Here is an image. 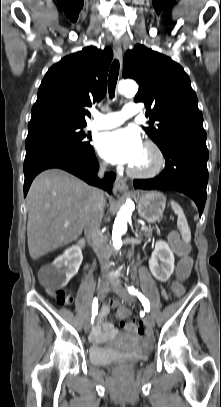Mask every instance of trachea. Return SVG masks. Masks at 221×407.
<instances>
[{
  "instance_id": "trachea-1",
  "label": "trachea",
  "mask_w": 221,
  "mask_h": 407,
  "mask_svg": "<svg viewBox=\"0 0 221 407\" xmlns=\"http://www.w3.org/2000/svg\"><path fill=\"white\" fill-rule=\"evenodd\" d=\"M118 75H119V61L114 60L111 65L108 76V91L111 99L114 98L115 96V88L118 80Z\"/></svg>"
}]
</instances>
